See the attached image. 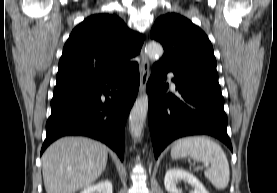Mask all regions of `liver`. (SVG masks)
<instances>
[{"instance_id":"liver-1","label":"liver","mask_w":277,"mask_h":193,"mask_svg":"<svg viewBox=\"0 0 277 193\" xmlns=\"http://www.w3.org/2000/svg\"><path fill=\"white\" fill-rule=\"evenodd\" d=\"M108 159L106 146L86 137H64L42 156L47 193H75L92 185L103 173Z\"/></svg>"}]
</instances>
